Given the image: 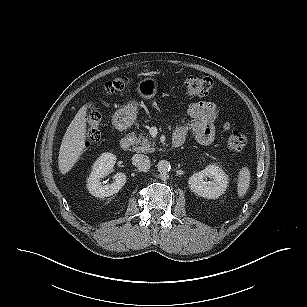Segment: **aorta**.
<instances>
[{
    "mask_svg": "<svg viewBox=\"0 0 307 307\" xmlns=\"http://www.w3.org/2000/svg\"><path fill=\"white\" fill-rule=\"evenodd\" d=\"M158 171L162 174H166L170 171L171 165L170 162L167 160H161L158 162L157 165Z\"/></svg>",
    "mask_w": 307,
    "mask_h": 307,
    "instance_id": "1",
    "label": "aorta"
}]
</instances>
